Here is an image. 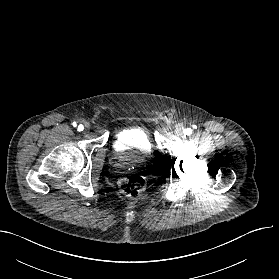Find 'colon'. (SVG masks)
<instances>
[{
    "mask_svg": "<svg viewBox=\"0 0 279 279\" xmlns=\"http://www.w3.org/2000/svg\"><path fill=\"white\" fill-rule=\"evenodd\" d=\"M121 191L130 198L140 196L145 190V180L139 175H130L119 181Z\"/></svg>",
    "mask_w": 279,
    "mask_h": 279,
    "instance_id": "obj_1",
    "label": "colon"
}]
</instances>
